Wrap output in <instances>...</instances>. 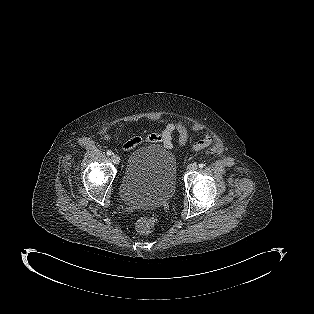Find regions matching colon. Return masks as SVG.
<instances>
[{
	"label": "colon",
	"instance_id": "colon-1",
	"mask_svg": "<svg viewBox=\"0 0 314 314\" xmlns=\"http://www.w3.org/2000/svg\"><path fill=\"white\" fill-rule=\"evenodd\" d=\"M157 219L152 216H142L137 222V229L143 235H149L153 232Z\"/></svg>",
	"mask_w": 314,
	"mask_h": 314
}]
</instances>
